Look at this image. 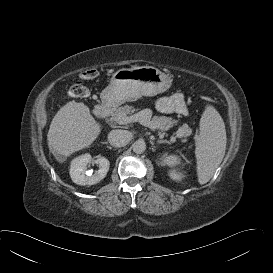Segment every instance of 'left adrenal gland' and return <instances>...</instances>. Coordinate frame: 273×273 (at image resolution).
Segmentation results:
<instances>
[{
    "mask_svg": "<svg viewBox=\"0 0 273 273\" xmlns=\"http://www.w3.org/2000/svg\"><path fill=\"white\" fill-rule=\"evenodd\" d=\"M161 143H167V141L166 140H158L157 141V144H161Z\"/></svg>",
    "mask_w": 273,
    "mask_h": 273,
    "instance_id": "obj_1",
    "label": "left adrenal gland"
}]
</instances>
